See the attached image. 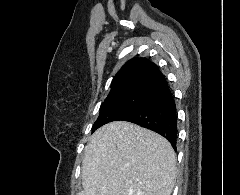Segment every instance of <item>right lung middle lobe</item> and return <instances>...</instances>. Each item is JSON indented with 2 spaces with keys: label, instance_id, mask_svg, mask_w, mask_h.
<instances>
[{
  "label": "right lung middle lobe",
  "instance_id": "obj_1",
  "mask_svg": "<svg viewBox=\"0 0 240 195\" xmlns=\"http://www.w3.org/2000/svg\"><path fill=\"white\" fill-rule=\"evenodd\" d=\"M145 97V93H121L108 95L101 107L100 115L93 125L92 132L106 123L119 120L121 117L139 106Z\"/></svg>",
  "mask_w": 240,
  "mask_h": 195
}]
</instances>
